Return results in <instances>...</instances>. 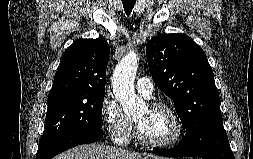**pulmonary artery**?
<instances>
[{
	"mask_svg": "<svg viewBox=\"0 0 253 159\" xmlns=\"http://www.w3.org/2000/svg\"><path fill=\"white\" fill-rule=\"evenodd\" d=\"M137 91L146 98H149L153 93V84L147 77H140L136 81Z\"/></svg>",
	"mask_w": 253,
	"mask_h": 159,
	"instance_id": "obj_1",
	"label": "pulmonary artery"
}]
</instances>
